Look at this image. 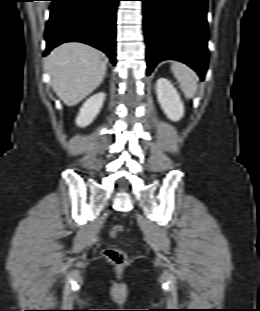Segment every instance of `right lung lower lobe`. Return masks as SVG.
Listing matches in <instances>:
<instances>
[{
	"label": "right lung lower lobe",
	"mask_w": 260,
	"mask_h": 311,
	"mask_svg": "<svg viewBox=\"0 0 260 311\" xmlns=\"http://www.w3.org/2000/svg\"><path fill=\"white\" fill-rule=\"evenodd\" d=\"M50 1L44 56L61 43L77 41L100 49L116 64V11L120 0Z\"/></svg>",
	"instance_id": "98d812e1"
}]
</instances>
